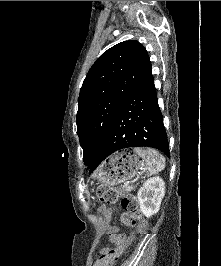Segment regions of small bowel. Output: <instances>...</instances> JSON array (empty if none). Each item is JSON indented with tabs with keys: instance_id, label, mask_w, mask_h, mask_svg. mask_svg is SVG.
I'll list each match as a JSON object with an SVG mask.
<instances>
[{
	"instance_id": "c3829d8e",
	"label": "small bowel",
	"mask_w": 221,
	"mask_h": 266,
	"mask_svg": "<svg viewBox=\"0 0 221 266\" xmlns=\"http://www.w3.org/2000/svg\"><path fill=\"white\" fill-rule=\"evenodd\" d=\"M115 235H119L120 237H123V235H121V234H115ZM105 251H106V248L102 249L101 254L104 253ZM101 254H100V255H101ZM97 261H98V260H97ZM97 261H96V263H95L94 266H97Z\"/></svg>"
}]
</instances>
